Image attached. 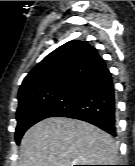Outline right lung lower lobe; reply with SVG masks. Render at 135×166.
<instances>
[{
  "label": "right lung lower lobe",
  "mask_w": 135,
  "mask_h": 166,
  "mask_svg": "<svg viewBox=\"0 0 135 166\" xmlns=\"http://www.w3.org/2000/svg\"><path fill=\"white\" fill-rule=\"evenodd\" d=\"M70 104L52 117H68L89 122L116 136V98L114 83L106 65L71 84Z\"/></svg>",
  "instance_id": "right-lung-lower-lobe-1"
}]
</instances>
